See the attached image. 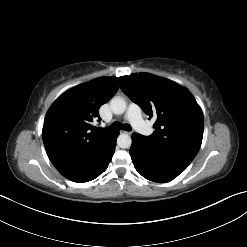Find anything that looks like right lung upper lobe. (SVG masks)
<instances>
[{
    "label": "right lung upper lobe",
    "mask_w": 247,
    "mask_h": 247,
    "mask_svg": "<svg viewBox=\"0 0 247 247\" xmlns=\"http://www.w3.org/2000/svg\"><path fill=\"white\" fill-rule=\"evenodd\" d=\"M119 79L98 78L64 92L46 114L42 130L46 153L61 172L89 161L113 132L93 129L99 108L118 91Z\"/></svg>",
    "instance_id": "cb5924a9"
}]
</instances>
